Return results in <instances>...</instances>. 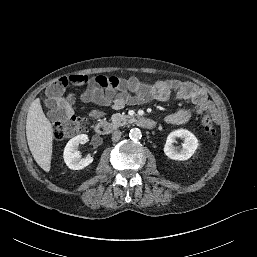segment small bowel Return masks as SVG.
Listing matches in <instances>:
<instances>
[{"instance_id":"small-bowel-1","label":"small bowel","mask_w":257,"mask_h":257,"mask_svg":"<svg viewBox=\"0 0 257 257\" xmlns=\"http://www.w3.org/2000/svg\"><path fill=\"white\" fill-rule=\"evenodd\" d=\"M63 98L53 96L47 90L46 105L51 116H56L58 103ZM171 99L188 100L191 107L181 108L165 117L169 124H184L193 114H200L207 105L206 92L190 81L159 80L143 81L137 77L121 79L116 76L97 75L88 81V86L81 95L84 104H95L99 107H110L115 110L127 104H142L151 100L168 101ZM105 112L95 108L90 112L94 119H101Z\"/></svg>"}]
</instances>
